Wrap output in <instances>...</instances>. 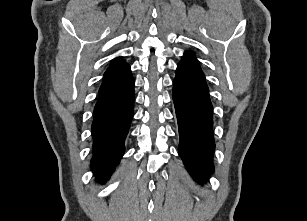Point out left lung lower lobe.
<instances>
[{
	"label": "left lung lower lobe",
	"mask_w": 307,
	"mask_h": 221,
	"mask_svg": "<svg viewBox=\"0 0 307 221\" xmlns=\"http://www.w3.org/2000/svg\"><path fill=\"white\" fill-rule=\"evenodd\" d=\"M173 101L179 125V155L187 170L201 181L213 167L212 105L198 60L186 52L173 81Z\"/></svg>",
	"instance_id": "1"
}]
</instances>
